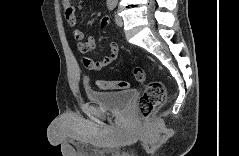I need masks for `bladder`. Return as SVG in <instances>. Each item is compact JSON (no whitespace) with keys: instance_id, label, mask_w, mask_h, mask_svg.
I'll list each match as a JSON object with an SVG mask.
<instances>
[{"instance_id":"1","label":"bladder","mask_w":239,"mask_h":156,"mask_svg":"<svg viewBox=\"0 0 239 156\" xmlns=\"http://www.w3.org/2000/svg\"><path fill=\"white\" fill-rule=\"evenodd\" d=\"M135 91L103 92L92 89L86 90L89 101L100 105L102 108L112 112H122L131 103Z\"/></svg>"}]
</instances>
